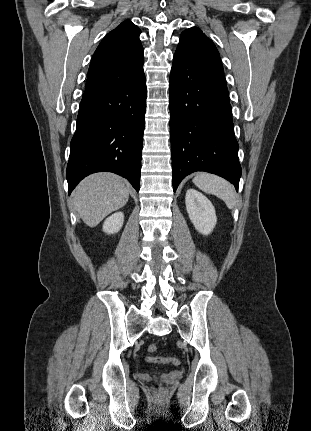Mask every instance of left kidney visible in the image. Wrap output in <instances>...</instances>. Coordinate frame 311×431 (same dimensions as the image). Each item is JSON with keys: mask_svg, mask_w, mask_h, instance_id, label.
<instances>
[{"mask_svg": "<svg viewBox=\"0 0 311 431\" xmlns=\"http://www.w3.org/2000/svg\"><path fill=\"white\" fill-rule=\"evenodd\" d=\"M187 214L190 217L195 229L208 235L213 231L217 223L216 212L210 200L197 192V190H187L185 196Z\"/></svg>", "mask_w": 311, "mask_h": 431, "instance_id": "left-kidney-1", "label": "left kidney"}]
</instances>
